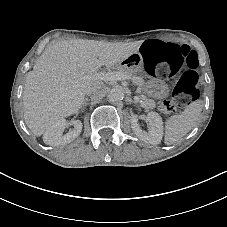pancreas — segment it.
I'll return each instance as SVG.
<instances>
[{
    "label": "pancreas",
    "instance_id": "cf45deb5",
    "mask_svg": "<svg viewBox=\"0 0 227 227\" xmlns=\"http://www.w3.org/2000/svg\"><path fill=\"white\" fill-rule=\"evenodd\" d=\"M117 71L123 72L127 75H130L132 78L133 83L138 85V92H139V99L142 100L141 106L144 108H154L155 107V101L152 99L147 98L145 95H142L143 87L145 85V81L140 76H135L132 73H129L126 69L121 67H116Z\"/></svg>",
    "mask_w": 227,
    "mask_h": 227
}]
</instances>
